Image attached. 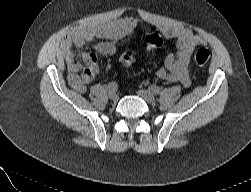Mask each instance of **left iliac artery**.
Masks as SVG:
<instances>
[{"mask_svg": "<svg viewBox=\"0 0 251 192\" xmlns=\"http://www.w3.org/2000/svg\"><path fill=\"white\" fill-rule=\"evenodd\" d=\"M149 91H151L153 94L158 95L161 91V89L156 85L149 86Z\"/></svg>", "mask_w": 251, "mask_h": 192, "instance_id": "1", "label": "left iliac artery"}]
</instances>
